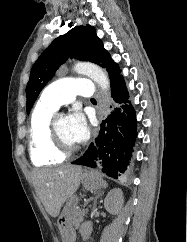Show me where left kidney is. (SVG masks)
Wrapping results in <instances>:
<instances>
[{"label": "left kidney", "mask_w": 187, "mask_h": 242, "mask_svg": "<svg viewBox=\"0 0 187 242\" xmlns=\"http://www.w3.org/2000/svg\"><path fill=\"white\" fill-rule=\"evenodd\" d=\"M124 203L123 192L119 188L112 189L104 200L105 209L112 213L117 214Z\"/></svg>", "instance_id": "obj_1"}]
</instances>
